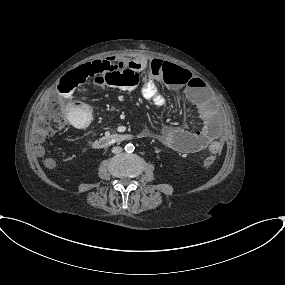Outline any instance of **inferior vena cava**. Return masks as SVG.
<instances>
[{"instance_id": "602c4592", "label": "inferior vena cava", "mask_w": 285, "mask_h": 285, "mask_svg": "<svg viewBox=\"0 0 285 285\" xmlns=\"http://www.w3.org/2000/svg\"><path fill=\"white\" fill-rule=\"evenodd\" d=\"M122 151V148L121 147H113V149H112V153H114V154H118V153H120Z\"/></svg>"}]
</instances>
